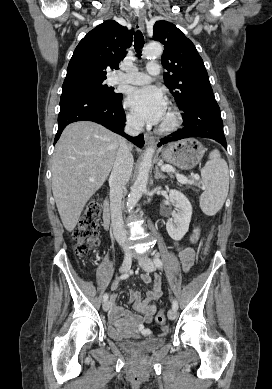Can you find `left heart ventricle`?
Segmentation results:
<instances>
[{"instance_id": "b2bd125f", "label": "left heart ventricle", "mask_w": 272, "mask_h": 389, "mask_svg": "<svg viewBox=\"0 0 272 389\" xmlns=\"http://www.w3.org/2000/svg\"><path fill=\"white\" fill-rule=\"evenodd\" d=\"M167 119H168V113L166 112V114H165V116H164L162 122H165Z\"/></svg>"}]
</instances>
